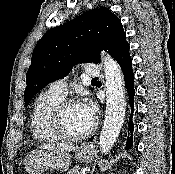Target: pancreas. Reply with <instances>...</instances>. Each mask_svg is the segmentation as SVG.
<instances>
[{
    "mask_svg": "<svg viewBox=\"0 0 175 174\" xmlns=\"http://www.w3.org/2000/svg\"><path fill=\"white\" fill-rule=\"evenodd\" d=\"M80 170L81 168L78 166H75L74 168H72L70 171H68L67 174H80Z\"/></svg>",
    "mask_w": 175,
    "mask_h": 174,
    "instance_id": "obj_1",
    "label": "pancreas"
}]
</instances>
